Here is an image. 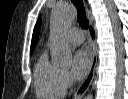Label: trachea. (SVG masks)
<instances>
[{"label": "trachea", "instance_id": "obj_1", "mask_svg": "<svg viewBox=\"0 0 128 99\" xmlns=\"http://www.w3.org/2000/svg\"><path fill=\"white\" fill-rule=\"evenodd\" d=\"M72 3L77 8V20L80 24V26L83 29H87L89 26L88 20L86 18V13L84 10V5L82 0H72Z\"/></svg>", "mask_w": 128, "mask_h": 99}]
</instances>
